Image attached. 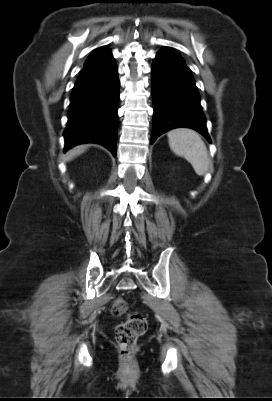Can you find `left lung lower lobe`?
I'll return each instance as SVG.
<instances>
[{"label":"left lung lower lobe","instance_id":"left-lung-lower-lobe-1","mask_svg":"<svg viewBox=\"0 0 272 401\" xmlns=\"http://www.w3.org/2000/svg\"><path fill=\"white\" fill-rule=\"evenodd\" d=\"M152 96L151 143L161 134L179 127L194 129L211 142L195 81L184 60L173 48H163L154 59Z\"/></svg>","mask_w":272,"mask_h":401}]
</instances>
